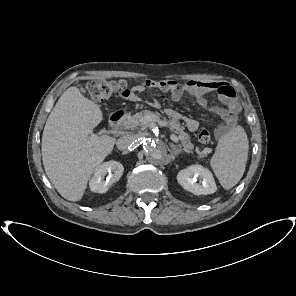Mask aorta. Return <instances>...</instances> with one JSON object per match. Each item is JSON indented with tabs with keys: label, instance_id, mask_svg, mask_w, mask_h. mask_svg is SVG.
<instances>
[{
	"label": "aorta",
	"instance_id": "aorta-1",
	"mask_svg": "<svg viewBox=\"0 0 296 296\" xmlns=\"http://www.w3.org/2000/svg\"><path fill=\"white\" fill-rule=\"evenodd\" d=\"M146 160L151 164H162L166 160L167 151L164 146L156 144L151 139L143 142Z\"/></svg>",
	"mask_w": 296,
	"mask_h": 296
}]
</instances>
